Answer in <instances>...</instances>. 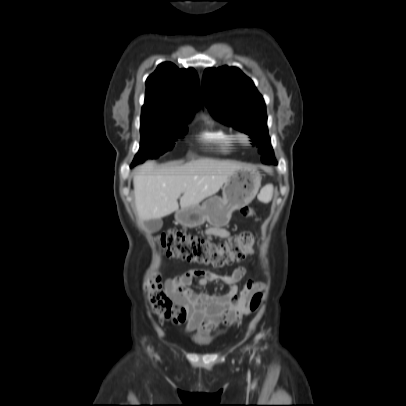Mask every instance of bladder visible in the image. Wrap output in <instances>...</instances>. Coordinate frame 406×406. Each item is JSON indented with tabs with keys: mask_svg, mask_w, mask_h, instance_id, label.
Masks as SVG:
<instances>
[{
	"mask_svg": "<svg viewBox=\"0 0 406 406\" xmlns=\"http://www.w3.org/2000/svg\"><path fill=\"white\" fill-rule=\"evenodd\" d=\"M194 343L199 346H206L209 344V339L202 335H197L193 338Z\"/></svg>",
	"mask_w": 406,
	"mask_h": 406,
	"instance_id": "obj_1",
	"label": "bladder"
}]
</instances>
